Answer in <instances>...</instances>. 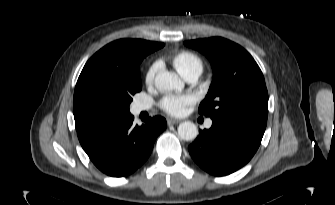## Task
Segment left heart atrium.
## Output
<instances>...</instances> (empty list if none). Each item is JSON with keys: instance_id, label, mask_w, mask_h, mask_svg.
<instances>
[{"instance_id": "left-heart-atrium-1", "label": "left heart atrium", "mask_w": 335, "mask_h": 205, "mask_svg": "<svg viewBox=\"0 0 335 205\" xmlns=\"http://www.w3.org/2000/svg\"><path fill=\"white\" fill-rule=\"evenodd\" d=\"M195 102V98L191 94L183 95H167L161 100V108L175 116L183 115L186 108Z\"/></svg>"}]
</instances>
